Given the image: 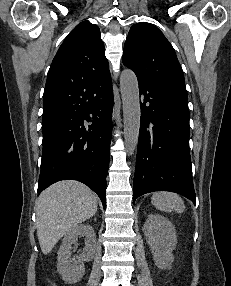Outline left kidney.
<instances>
[{
    "label": "left kidney",
    "mask_w": 231,
    "mask_h": 286,
    "mask_svg": "<svg viewBox=\"0 0 231 286\" xmlns=\"http://www.w3.org/2000/svg\"><path fill=\"white\" fill-rule=\"evenodd\" d=\"M143 229L155 265L160 269L170 268L174 259L172 251L177 244L176 230L172 223L162 215L149 214Z\"/></svg>",
    "instance_id": "1"
}]
</instances>
